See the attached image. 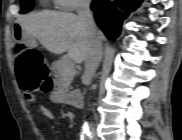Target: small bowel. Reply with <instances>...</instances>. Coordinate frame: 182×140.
I'll return each mask as SVG.
<instances>
[{"label":"small bowel","instance_id":"c3829d8e","mask_svg":"<svg viewBox=\"0 0 182 140\" xmlns=\"http://www.w3.org/2000/svg\"><path fill=\"white\" fill-rule=\"evenodd\" d=\"M40 111L42 113V115L47 118V119H52L53 115H52V112L47 108V107H44L42 106L40 108Z\"/></svg>","mask_w":182,"mask_h":140}]
</instances>
